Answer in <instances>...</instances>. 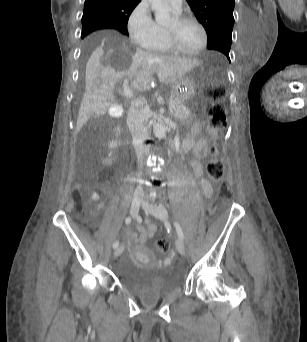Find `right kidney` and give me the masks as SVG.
<instances>
[{
	"label": "right kidney",
	"instance_id": "ca27d5eb",
	"mask_svg": "<svg viewBox=\"0 0 307 342\" xmlns=\"http://www.w3.org/2000/svg\"><path fill=\"white\" fill-rule=\"evenodd\" d=\"M117 146L116 142H110L109 148H115ZM108 156H112V154H108Z\"/></svg>",
	"mask_w": 307,
	"mask_h": 342
}]
</instances>
